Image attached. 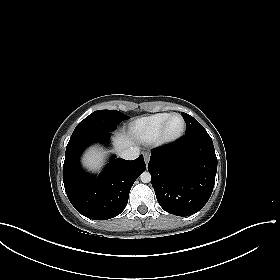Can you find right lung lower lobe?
<instances>
[{"instance_id":"98d812e1","label":"right lung lower lobe","mask_w":280,"mask_h":280,"mask_svg":"<svg viewBox=\"0 0 280 280\" xmlns=\"http://www.w3.org/2000/svg\"><path fill=\"white\" fill-rule=\"evenodd\" d=\"M110 133L85 134L70 138L63 165V182L68 199L82 215L93 220H107L126 207L130 189L145 171L143 155L128 161L113 157L104 171L85 172L79 164L83 150L95 142L108 143Z\"/></svg>"}]
</instances>
